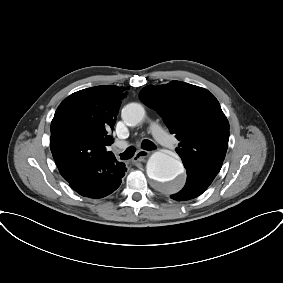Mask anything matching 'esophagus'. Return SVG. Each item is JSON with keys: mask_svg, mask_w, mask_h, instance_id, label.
I'll use <instances>...</instances> for the list:
<instances>
[{"mask_svg": "<svg viewBox=\"0 0 283 283\" xmlns=\"http://www.w3.org/2000/svg\"><path fill=\"white\" fill-rule=\"evenodd\" d=\"M150 152L147 150L138 151L132 159V162H145L146 158L149 156Z\"/></svg>", "mask_w": 283, "mask_h": 283, "instance_id": "34e87169", "label": "esophagus"}]
</instances>
